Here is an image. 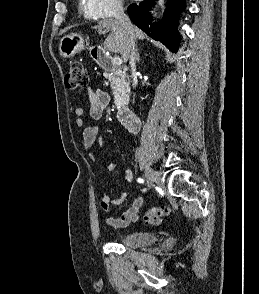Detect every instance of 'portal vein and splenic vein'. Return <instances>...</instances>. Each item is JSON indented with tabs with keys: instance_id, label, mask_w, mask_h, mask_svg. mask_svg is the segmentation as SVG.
Returning <instances> with one entry per match:
<instances>
[{
	"instance_id": "obj_1",
	"label": "portal vein and splenic vein",
	"mask_w": 259,
	"mask_h": 294,
	"mask_svg": "<svg viewBox=\"0 0 259 294\" xmlns=\"http://www.w3.org/2000/svg\"><path fill=\"white\" fill-rule=\"evenodd\" d=\"M113 63L116 65H121L122 64V59L119 57H114L113 58Z\"/></svg>"
}]
</instances>
